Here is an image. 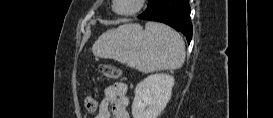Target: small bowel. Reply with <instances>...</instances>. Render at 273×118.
I'll return each mask as SVG.
<instances>
[{
  "label": "small bowel",
  "mask_w": 273,
  "mask_h": 118,
  "mask_svg": "<svg viewBox=\"0 0 273 118\" xmlns=\"http://www.w3.org/2000/svg\"><path fill=\"white\" fill-rule=\"evenodd\" d=\"M88 98L93 99L92 97ZM93 100L98 108L97 118H128L129 99L126 84L117 82L109 85L104 89L103 98L99 104L95 99Z\"/></svg>",
  "instance_id": "1"
}]
</instances>
